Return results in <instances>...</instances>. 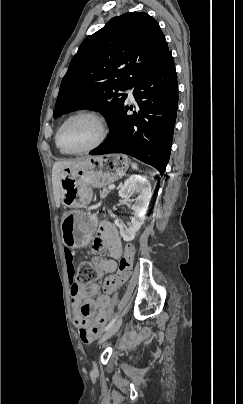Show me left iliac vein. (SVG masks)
<instances>
[{
    "label": "left iliac vein",
    "mask_w": 243,
    "mask_h": 404,
    "mask_svg": "<svg viewBox=\"0 0 243 404\" xmlns=\"http://www.w3.org/2000/svg\"><path fill=\"white\" fill-rule=\"evenodd\" d=\"M122 324V319H119L99 340V344L105 342L108 340L112 335H114L120 328ZM97 367L96 364L94 363V370L96 371Z\"/></svg>",
    "instance_id": "1"
}]
</instances>
